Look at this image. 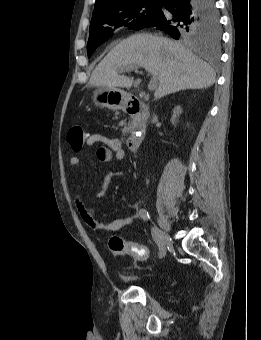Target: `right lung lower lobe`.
Here are the masks:
<instances>
[{
	"label": "right lung lower lobe",
	"mask_w": 261,
	"mask_h": 340,
	"mask_svg": "<svg viewBox=\"0 0 261 340\" xmlns=\"http://www.w3.org/2000/svg\"><path fill=\"white\" fill-rule=\"evenodd\" d=\"M195 13L200 16L217 13L215 0H163L161 10L146 27H155L177 39L179 25Z\"/></svg>",
	"instance_id": "right-lung-lower-lobe-1"
}]
</instances>
